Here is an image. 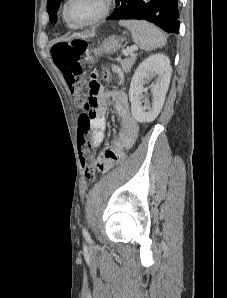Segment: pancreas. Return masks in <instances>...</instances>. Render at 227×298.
<instances>
[{"instance_id": "cf45deb5", "label": "pancreas", "mask_w": 227, "mask_h": 298, "mask_svg": "<svg viewBox=\"0 0 227 298\" xmlns=\"http://www.w3.org/2000/svg\"><path fill=\"white\" fill-rule=\"evenodd\" d=\"M135 60H136V57L135 56H131L130 58H127V59L121 61V67H122V69L126 73L130 72L131 67L135 63Z\"/></svg>"}]
</instances>
